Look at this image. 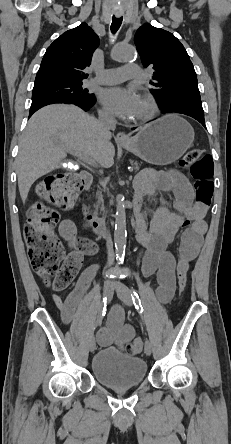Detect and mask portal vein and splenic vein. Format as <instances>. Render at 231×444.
<instances>
[{
    "instance_id": "1",
    "label": "portal vein and splenic vein",
    "mask_w": 231,
    "mask_h": 444,
    "mask_svg": "<svg viewBox=\"0 0 231 444\" xmlns=\"http://www.w3.org/2000/svg\"><path fill=\"white\" fill-rule=\"evenodd\" d=\"M72 154H74L82 162L87 163L91 166H96V162L92 158H90L88 155L82 154V153H77V152L76 153L72 152Z\"/></svg>"
}]
</instances>
